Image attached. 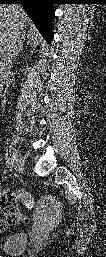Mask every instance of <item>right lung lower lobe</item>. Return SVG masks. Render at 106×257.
Returning <instances> with one entry per match:
<instances>
[{
    "mask_svg": "<svg viewBox=\"0 0 106 257\" xmlns=\"http://www.w3.org/2000/svg\"><path fill=\"white\" fill-rule=\"evenodd\" d=\"M1 4H21L48 43L52 39V0H0Z\"/></svg>",
    "mask_w": 106,
    "mask_h": 257,
    "instance_id": "right-lung-lower-lobe-1",
    "label": "right lung lower lobe"
}]
</instances>
